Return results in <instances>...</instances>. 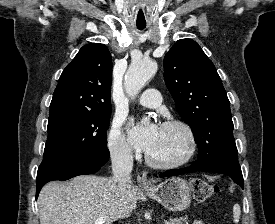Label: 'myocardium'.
I'll use <instances>...</instances> for the list:
<instances>
[{
    "mask_svg": "<svg viewBox=\"0 0 275 224\" xmlns=\"http://www.w3.org/2000/svg\"><path fill=\"white\" fill-rule=\"evenodd\" d=\"M162 127H177L181 129L187 138V143H188L187 150L181 158L170 162L156 161L147 154L145 156L146 163L149 166L157 169H173V168H178L180 166L185 165L193 157L197 148L196 137L193 129L188 123L180 119L166 120L163 122Z\"/></svg>",
    "mask_w": 275,
    "mask_h": 224,
    "instance_id": "obj_1",
    "label": "myocardium"
}]
</instances>
